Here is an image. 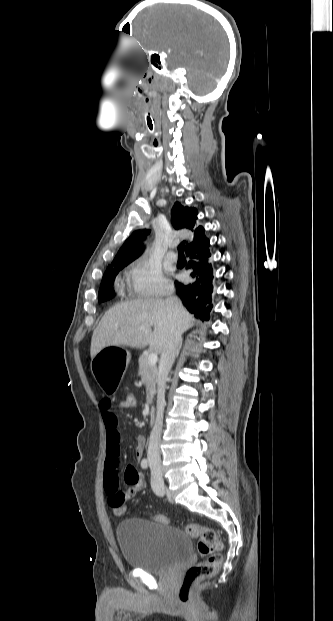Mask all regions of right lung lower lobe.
I'll list each match as a JSON object with an SVG mask.
<instances>
[{"label":"right lung lower lobe","mask_w":333,"mask_h":621,"mask_svg":"<svg viewBox=\"0 0 333 621\" xmlns=\"http://www.w3.org/2000/svg\"><path fill=\"white\" fill-rule=\"evenodd\" d=\"M189 257L187 268L191 269L192 283L175 282L176 293L185 307L200 319H209L212 308L213 269L210 262L209 245L195 247L186 252Z\"/></svg>","instance_id":"1"}]
</instances>
